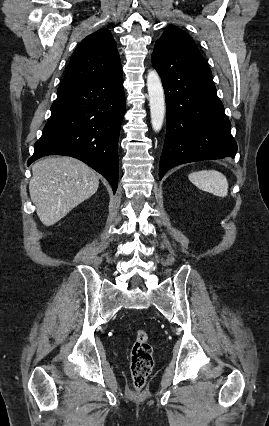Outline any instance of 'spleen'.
Returning a JSON list of instances; mask_svg holds the SVG:
<instances>
[{
    "mask_svg": "<svg viewBox=\"0 0 269 426\" xmlns=\"http://www.w3.org/2000/svg\"><path fill=\"white\" fill-rule=\"evenodd\" d=\"M189 180L199 189L218 197H226L228 194V181L225 175L216 170H203L191 173Z\"/></svg>",
    "mask_w": 269,
    "mask_h": 426,
    "instance_id": "1",
    "label": "spleen"
}]
</instances>
